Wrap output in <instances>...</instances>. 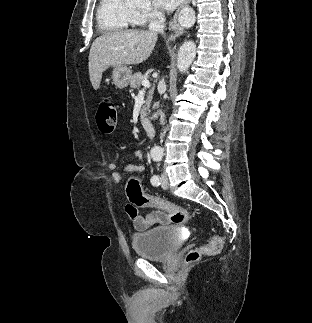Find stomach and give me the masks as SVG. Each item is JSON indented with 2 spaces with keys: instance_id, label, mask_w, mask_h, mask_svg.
Wrapping results in <instances>:
<instances>
[{
  "instance_id": "stomach-1",
  "label": "stomach",
  "mask_w": 312,
  "mask_h": 323,
  "mask_svg": "<svg viewBox=\"0 0 312 323\" xmlns=\"http://www.w3.org/2000/svg\"><path fill=\"white\" fill-rule=\"evenodd\" d=\"M132 72L127 66H117L112 72L113 84L117 88H127L131 80Z\"/></svg>"
}]
</instances>
